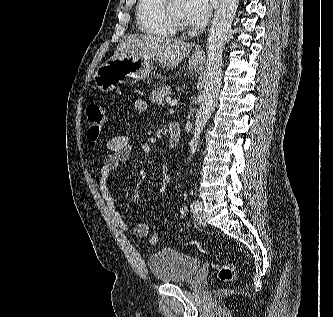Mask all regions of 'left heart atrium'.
I'll return each mask as SVG.
<instances>
[{
	"instance_id": "1",
	"label": "left heart atrium",
	"mask_w": 333,
	"mask_h": 317,
	"mask_svg": "<svg viewBox=\"0 0 333 317\" xmlns=\"http://www.w3.org/2000/svg\"><path fill=\"white\" fill-rule=\"evenodd\" d=\"M211 9V0H186V16L192 25H204L210 17Z\"/></svg>"
}]
</instances>
